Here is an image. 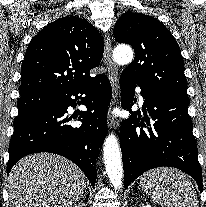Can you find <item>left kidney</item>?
I'll return each instance as SVG.
<instances>
[{"label":"left kidney","mask_w":206,"mask_h":207,"mask_svg":"<svg viewBox=\"0 0 206 207\" xmlns=\"http://www.w3.org/2000/svg\"><path fill=\"white\" fill-rule=\"evenodd\" d=\"M141 207H151L150 205L143 204Z\"/></svg>","instance_id":"5707ae66"}]
</instances>
